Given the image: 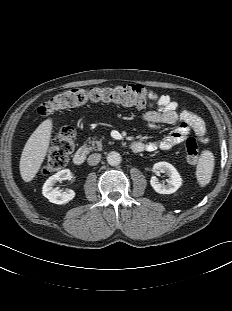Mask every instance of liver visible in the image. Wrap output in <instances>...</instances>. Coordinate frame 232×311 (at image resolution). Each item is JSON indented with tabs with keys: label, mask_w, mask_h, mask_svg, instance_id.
<instances>
[{
	"label": "liver",
	"mask_w": 232,
	"mask_h": 311,
	"mask_svg": "<svg viewBox=\"0 0 232 311\" xmlns=\"http://www.w3.org/2000/svg\"><path fill=\"white\" fill-rule=\"evenodd\" d=\"M52 119L43 121L27 140L20 158V174L25 182H30L38 173L49 148Z\"/></svg>",
	"instance_id": "1"
}]
</instances>
